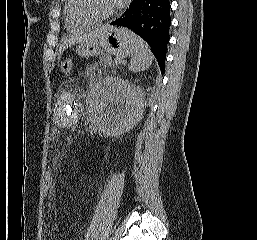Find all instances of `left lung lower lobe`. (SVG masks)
<instances>
[{
    "mask_svg": "<svg viewBox=\"0 0 257 240\" xmlns=\"http://www.w3.org/2000/svg\"><path fill=\"white\" fill-rule=\"evenodd\" d=\"M170 24L169 0H133L123 15L111 23L126 27L143 38L151 47L162 74L165 72Z\"/></svg>",
    "mask_w": 257,
    "mask_h": 240,
    "instance_id": "0a47b994",
    "label": "left lung lower lobe"
}]
</instances>
